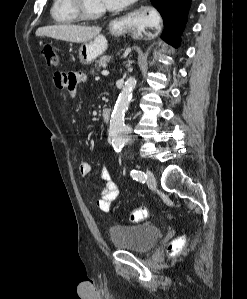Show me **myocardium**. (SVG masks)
Returning a JSON list of instances; mask_svg holds the SVG:
<instances>
[{
    "label": "myocardium",
    "mask_w": 247,
    "mask_h": 299,
    "mask_svg": "<svg viewBox=\"0 0 247 299\" xmlns=\"http://www.w3.org/2000/svg\"><path fill=\"white\" fill-rule=\"evenodd\" d=\"M72 1V6L79 16L80 19L83 20H94L102 17L106 10L105 9H100V10H90L87 6L86 0H71Z\"/></svg>",
    "instance_id": "obj_1"
}]
</instances>
